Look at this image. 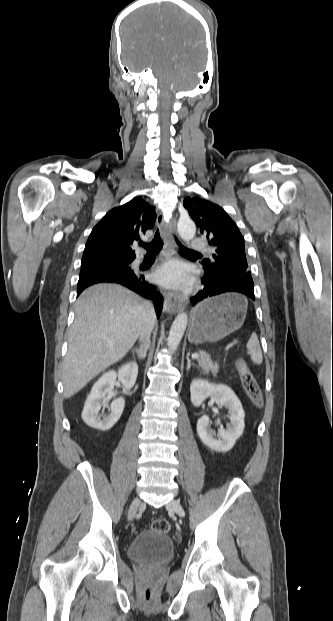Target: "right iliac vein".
Returning a JSON list of instances; mask_svg holds the SVG:
<instances>
[{
    "mask_svg": "<svg viewBox=\"0 0 333 621\" xmlns=\"http://www.w3.org/2000/svg\"><path fill=\"white\" fill-rule=\"evenodd\" d=\"M140 505H141V500L139 498H135L132 501V504H131L129 512H128V518L130 520H132L135 517V515L137 513V510H138Z\"/></svg>",
    "mask_w": 333,
    "mask_h": 621,
    "instance_id": "obj_1",
    "label": "right iliac vein"
}]
</instances>
